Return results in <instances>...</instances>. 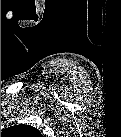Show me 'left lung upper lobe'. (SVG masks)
<instances>
[{
	"instance_id": "5c2ea615",
	"label": "left lung upper lobe",
	"mask_w": 121,
	"mask_h": 137,
	"mask_svg": "<svg viewBox=\"0 0 121 137\" xmlns=\"http://www.w3.org/2000/svg\"><path fill=\"white\" fill-rule=\"evenodd\" d=\"M5 135L10 136H32V137H40V131L32 126H28L25 124L14 125L8 129H5L3 132Z\"/></svg>"
}]
</instances>
